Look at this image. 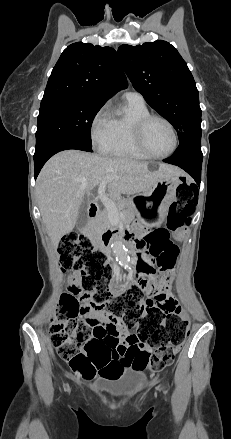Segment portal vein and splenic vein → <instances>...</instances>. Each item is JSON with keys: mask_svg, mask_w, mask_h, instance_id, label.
<instances>
[{"mask_svg": "<svg viewBox=\"0 0 231 439\" xmlns=\"http://www.w3.org/2000/svg\"><path fill=\"white\" fill-rule=\"evenodd\" d=\"M112 179H113L112 177H107L103 180V182L100 184L98 189V196L101 202L103 203V205L105 206V208L108 210L110 218L118 219L119 212L116 207V204L105 195L106 184L112 181Z\"/></svg>", "mask_w": 231, "mask_h": 439, "instance_id": "1", "label": "portal vein and splenic vein"}]
</instances>
